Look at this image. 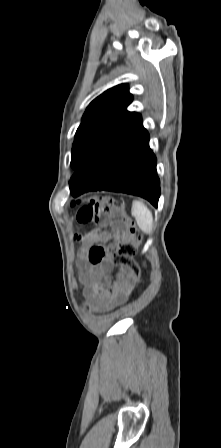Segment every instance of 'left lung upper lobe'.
Wrapping results in <instances>:
<instances>
[{
  "mask_svg": "<svg viewBox=\"0 0 221 448\" xmlns=\"http://www.w3.org/2000/svg\"><path fill=\"white\" fill-rule=\"evenodd\" d=\"M131 102L128 85L121 84L90 103L75 134L73 169L94 166L143 127L141 116L126 109Z\"/></svg>",
  "mask_w": 221,
  "mask_h": 448,
  "instance_id": "obj_1",
  "label": "left lung upper lobe"
}]
</instances>
